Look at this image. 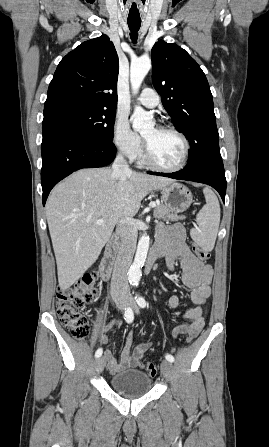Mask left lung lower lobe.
Here are the masks:
<instances>
[{
  "label": "left lung lower lobe",
  "instance_id": "left-lung-lower-lobe-1",
  "mask_svg": "<svg viewBox=\"0 0 269 447\" xmlns=\"http://www.w3.org/2000/svg\"><path fill=\"white\" fill-rule=\"evenodd\" d=\"M152 175L164 176L179 180L204 183L215 188L224 202L226 193V179L222 159L203 163L193 169H183L174 173L148 172Z\"/></svg>",
  "mask_w": 269,
  "mask_h": 447
}]
</instances>
